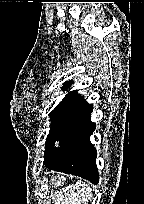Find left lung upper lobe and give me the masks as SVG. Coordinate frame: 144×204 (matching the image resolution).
<instances>
[{
	"label": "left lung upper lobe",
	"mask_w": 144,
	"mask_h": 204,
	"mask_svg": "<svg viewBox=\"0 0 144 204\" xmlns=\"http://www.w3.org/2000/svg\"><path fill=\"white\" fill-rule=\"evenodd\" d=\"M72 83V80L65 82L62 90L66 91ZM84 101L83 97L80 96L77 91H71L64 97L54 111L49 114L52 123L46 139L45 153L55 148V143H60L65 139L68 133L69 121L74 116L76 109L79 108Z\"/></svg>",
	"instance_id": "1"
}]
</instances>
